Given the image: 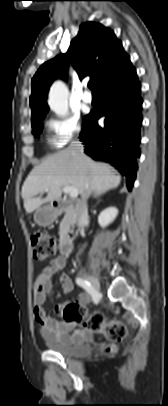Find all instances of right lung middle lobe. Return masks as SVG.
<instances>
[{"label":"right lung middle lobe","instance_id":"1","mask_svg":"<svg viewBox=\"0 0 168 406\" xmlns=\"http://www.w3.org/2000/svg\"><path fill=\"white\" fill-rule=\"evenodd\" d=\"M41 121H42V120H40V121H38V122L32 124V127H33V134H34L35 136H38V135L41 133V131H42L43 126H42V124L40 123Z\"/></svg>","mask_w":168,"mask_h":406}]
</instances>
